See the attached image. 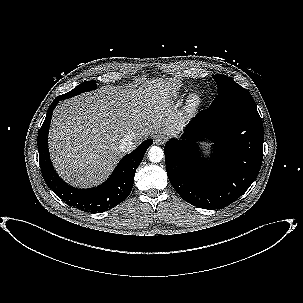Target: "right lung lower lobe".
Masks as SVG:
<instances>
[{
	"instance_id": "1",
	"label": "right lung lower lobe",
	"mask_w": 303,
	"mask_h": 303,
	"mask_svg": "<svg viewBox=\"0 0 303 303\" xmlns=\"http://www.w3.org/2000/svg\"><path fill=\"white\" fill-rule=\"evenodd\" d=\"M63 95L55 98L48 108L46 118L38 134L39 162L44 181L68 205L85 212H104L124 201L130 194L134 175L144 154L153 140L148 139L140 144L132 153L124 156L112 175L102 185L91 189H77L65 183L55 172L48 150V132L52 113Z\"/></svg>"
}]
</instances>
